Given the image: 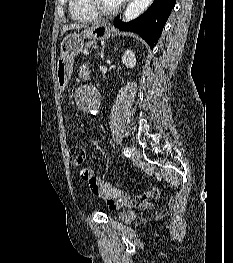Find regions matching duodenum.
<instances>
[{
    "instance_id": "1",
    "label": "duodenum",
    "mask_w": 233,
    "mask_h": 263,
    "mask_svg": "<svg viewBox=\"0 0 233 263\" xmlns=\"http://www.w3.org/2000/svg\"><path fill=\"white\" fill-rule=\"evenodd\" d=\"M89 77H90V71H85V72H83V73L81 74V78H82V79L87 80V79H89Z\"/></svg>"
}]
</instances>
